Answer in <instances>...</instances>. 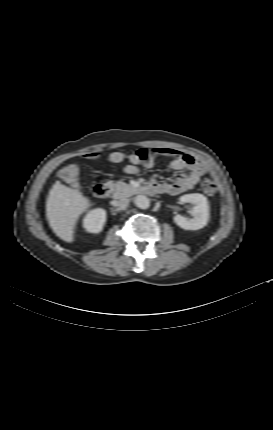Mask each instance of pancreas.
<instances>
[{
	"mask_svg": "<svg viewBox=\"0 0 273 430\" xmlns=\"http://www.w3.org/2000/svg\"><path fill=\"white\" fill-rule=\"evenodd\" d=\"M113 188H114V195L113 197L115 199H119L122 197H129L133 194L135 191L134 187L130 184H126L123 181H110L108 182Z\"/></svg>",
	"mask_w": 273,
	"mask_h": 430,
	"instance_id": "1",
	"label": "pancreas"
}]
</instances>
